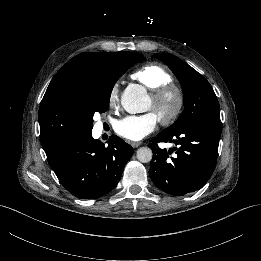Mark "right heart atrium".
Listing matches in <instances>:
<instances>
[{
	"label": "right heart atrium",
	"mask_w": 261,
	"mask_h": 261,
	"mask_svg": "<svg viewBox=\"0 0 261 261\" xmlns=\"http://www.w3.org/2000/svg\"><path fill=\"white\" fill-rule=\"evenodd\" d=\"M119 103L118 88L114 86L108 96V105L110 108L117 106Z\"/></svg>",
	"instance_id": "obj_1"
}]
</instances>
